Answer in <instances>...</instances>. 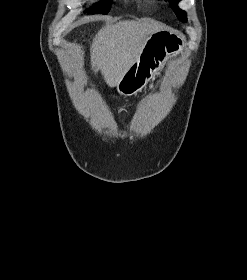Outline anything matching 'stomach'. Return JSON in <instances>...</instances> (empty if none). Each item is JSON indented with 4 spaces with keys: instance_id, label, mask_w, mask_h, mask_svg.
<instances>
[{
    "instance_id": "stomach-1",
    "label": "stomach",
    "mask_w": 247,
    "mask_h": 280,
    "mask_svg": "<svg viewBox=\"0 0 247 280\" xmlns=\"http://www.w3.org/2000/svg\"><path fill=\"white\" fill-rule=\"evenodd\" d=\"M181 48L182 41L175 34L163 30L152 33L146 39L139 57L118 83V92L129 96L141 91Z\"/></svg>"
}]
</instances>
